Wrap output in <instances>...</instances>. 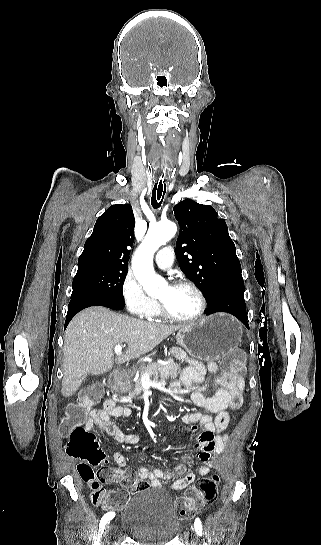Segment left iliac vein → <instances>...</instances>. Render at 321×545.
<instances>
[{
	"label": "left iliac vein",
	"instance_id": "obj_1",
	"mask_svg": "<svg viewBox=\"0 0 321 545\" xmlns=\"http://www.w3.org/2000/svg\"><path fill=\"white\" fill-rule=\"evenodd\" d=\"M194 544H195V545H199V542H198L197 538H195Z\"/></svg>",
	"mask_w": 321,
	"mask_h": 545
}]
</instances>
